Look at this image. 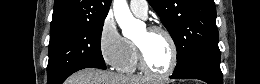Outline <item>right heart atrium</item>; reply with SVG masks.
<instances>
[{
	"label": "right heart atrium",
	"mask_w": 260,
	"mask_h": 84,
	"mask_svg": "<svg viewBox=\"0 0 260 84\" xmlns=\"http://www.w3.org/2000/svg\"><path fill=\"white\" fill-rule=\"evenodd\" d=\"M98 49L101 58L110 67H117L125 54V39L118 31L114 19L108 15L103 20L98 34Z\"/></svg>",
	"instance_id": "1"
}]
</instances>
